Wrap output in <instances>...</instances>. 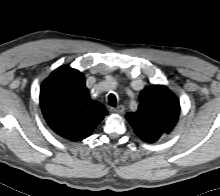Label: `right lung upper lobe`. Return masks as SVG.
I'll use <instances>...</instances> for the list:
<instances>
[{"mask_svg": "<svg viewBox=\"0 0 220 196\" xmlns=\"http://www.w3.org/2000/svg\"><path fill=\"white\" fill-rule=\"evenodd\" d=\"M40 104L45 120L58 135L80 141L107 115L99 102H93L82 73L68 65L60 66L42 83Z\"/></svg>", "mask_w": 220, "mask_h": 196, "instance_id": "obj_1", "label": "right lung upper lobe"}]
</instances>
